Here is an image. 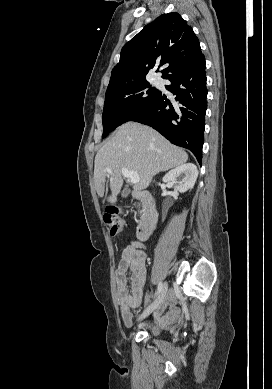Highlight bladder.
<instances>
[{"label": "bladder", "mask_w": 272, "mask_h": 389, "mask_svg": "<svg viewBox=\"0 0 272 389\" xmlns=\"http://www.w3.org/2000/svg\"><path fill=\"white\" fill-rule=\"evenodd\" d=\"M161 333V330L160 329H158V328H155L154 329V334L155 335H159Z\"/></svg>", "instance_id": "1"}]
</instances>
